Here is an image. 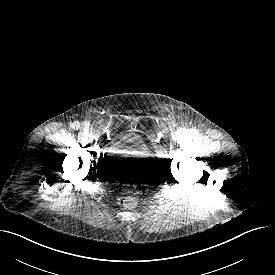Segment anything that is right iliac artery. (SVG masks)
Listing matches in <instances>:
<instances>
[{
    "label": "right iliac artery",
    "instance_id": "1",
    "mask_svg": "<svg viewBox=\"0 0 275 275\" xmlns=\"http://www.w3.org/2000/svg\"><path fill=\"white\" fill-rule=\"evenodd\" d=\"M71 127H72L73 129H78V128H79V122H74V123H72Z\"/></svg>",
    "mask_w": 275,
    "mask_h": 275
}]
</instances>
